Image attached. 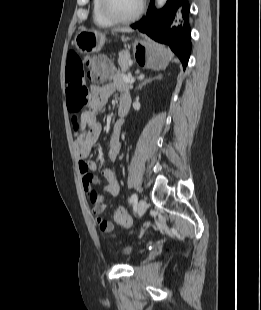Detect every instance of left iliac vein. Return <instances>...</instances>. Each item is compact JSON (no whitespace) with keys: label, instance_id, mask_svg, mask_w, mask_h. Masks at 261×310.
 <instances>
[{"label":"left iliac vein","instance_id":"1","mask_svg":"<svg viewBox=\"0 0 261 310\" xmlns=\"http://www.w3.org/2000/svg\"><path fill=\"white\" fill-rule=\"evenodd\" d=\"M147 210V203L144 199L139 200L137 204V214L139 217L143 216Z\"/></svg>","mask_w":261,"mask_h":310}]
</instances>
